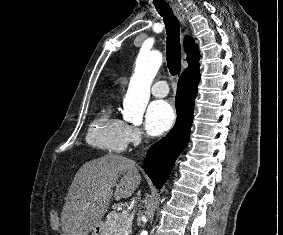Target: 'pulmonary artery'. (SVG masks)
<instances>
[{
  "instance_id": "obj_1",
  "label": "pulmonary artery",
  "mask_w": 283,
  "mask_h": 235,
  "mask_svg": "<svg viewBox=\"0 0 283 235\" xmlns=\"http://www.w3.org/2000/svg\"><path fill=\"white\" fill-rule=\"evenodd\" d=\"M168 93L169 89L165 81H157L151 87V94L155 97H165Z\"/></svg>"
}]
</instances>
